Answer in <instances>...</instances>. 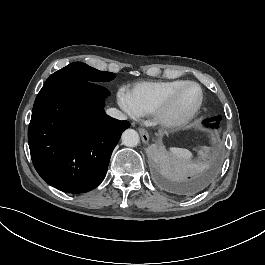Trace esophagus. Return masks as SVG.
<instances>
[{"instance_id":"1","label":"esophagus","mask_w":265,"mask_h":265,"mask_svg":"<svg viewBox=\"0 0 265 265\" xmlns=\"http://www.w3.org/2000/svg\"><path fill=\"white\" fill-rule=\"evenodd\" d=\"M138 131H139V134L141 136L142 142L145 144L148 143L149 134H148L147 130H145L144 128H139Z\"/></svg>"}]
</instances>
